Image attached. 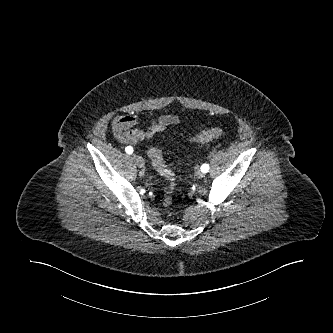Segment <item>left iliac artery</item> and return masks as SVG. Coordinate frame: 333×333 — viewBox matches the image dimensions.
<instances>
[{
	"mask_svg": "<svg viewBox=\"0 0 333 333\" xmlns=\"http://www.w3.org/2000/svg\"><path fill=\"white\" fill-rule=\"evenodd\" d=\"M201 171L207 173L209 171V164L205 163L201 166Z\"/></svg>",
	"mask_w": 333,
	"mask_h": 333,
	"instance_id": "obj_1",
	"label": "left iliac artery"
}]
</instances>
